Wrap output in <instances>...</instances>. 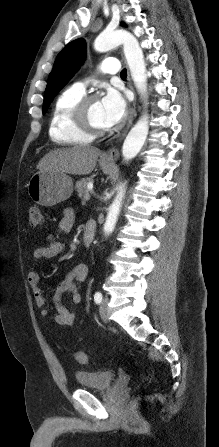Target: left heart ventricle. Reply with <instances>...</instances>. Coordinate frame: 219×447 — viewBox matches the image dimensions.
<instances>
[{
	"instance_id": "b2bd125f",
	"label": "left heart ventricle",
	"mask_w": 219,
	"mask_h": 447,
	"mask_svg": "<svg viewBox=\"0 0 219 447\" xmlns=\"http://www.w3.org/2000/svg\"><path fill=\"white\" fill-rule=\"evenodd\" d=\"M90 116L92 122L99 127H106L103 121V111L100 101H96L91 105Z\"/></svg>"
}]
</instances>
